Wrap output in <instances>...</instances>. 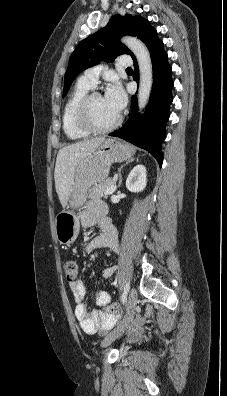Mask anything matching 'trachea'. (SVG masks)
<instances>
[{
    "label": "trachea",
    "instance_id": "trachea-1",
    "mask_svg": "<svg viewBox=\"0 0 227 396\" xmlns=\"http://www.w3.org/2000/svg\"><path fill=\"white\" fill-rule=\"evenodd\" d=\"M126 70H127V71H132V68L129 67V68H127Z\"/></svg>",
    "mask_w": 227,
    "mask_h": 396
}]
</instances>
